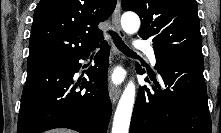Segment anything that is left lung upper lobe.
Instances as JSON below:
<instances>
[{"instance_id":"1","label":"left lung upper lobe","mask_w":221,"mask_h":133,"mask_svg":"<svg viewBox=\"0 0 221 133\" xmlns=\"http://www.w3.org/2000/svg\"><path fill=\"white\" fill-rule=\"evenodd\" d=\"M122 9L140 16L139 35L151 38L154 50L203 60L195 0H122Z\"/></svg>"}]
</instances>
